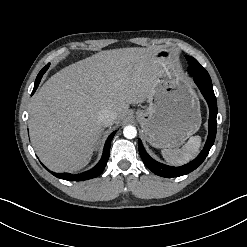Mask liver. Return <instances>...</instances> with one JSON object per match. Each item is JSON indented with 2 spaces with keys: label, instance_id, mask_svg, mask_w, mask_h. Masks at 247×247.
<instances>
[{
  "label": "liver",
  "instance_id": "1",
  "mask_svg": "<svg viewBox=\"0 0 247 247\" xmlns=\"http://www.w3.org/2000/svg\"><path fill=\"white\" fill-rule=\"evenodd\" d=\"M159 49L101 51L50 77L33 96L29 110L32 145L55 172L85 167L103 131L102 110L125 117L130 104L143 103L168 60Z\"/></svg>",
  "mask_w": 247,
  "mask_h": 247
}]
</instances>
